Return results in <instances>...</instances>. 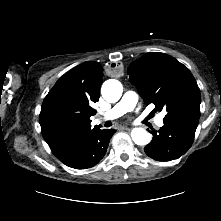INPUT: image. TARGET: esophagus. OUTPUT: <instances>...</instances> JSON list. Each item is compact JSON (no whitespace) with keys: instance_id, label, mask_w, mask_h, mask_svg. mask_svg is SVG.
I'll use <instances>...</instances> for the list:
<instances>
[{"instance_id":"obj_1","label":"esophagus","mask_w":221,"mask_h":221,"mask_svg":"<svg viewBox=\"0 0 221 221\" xmlns=\"http://www.w3.org/2000/svg\"><path fill=\"white\" fill-rule=\"evenodd\" d=\"M122 129L123 130H130L128 127H123Z\"/></svg>"}]
</instances>
